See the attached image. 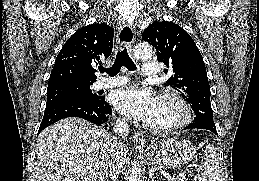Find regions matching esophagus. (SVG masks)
Returning a JSON list of instances; mask_svg holds the SVG:
<instances>
[{
  "label": "esophagus",
  "mask_w": 259,
  "mask_h": 181,
  "mask_svg": "<svg viewBox=\"0 0 259 181\" xmlns=\"http://www.w3.org/2000/svg\"><path fill=\"white\" fill-rule=\"evenodd\" d=\"M135 40L134 28L130 23H125L118 32V42L120 45L131 46ZM134 146L138 149L145 147V137L141 133H135L132 137Z\"/></svg>",
  "instance_id": "obj_1"
}]
</instances>
